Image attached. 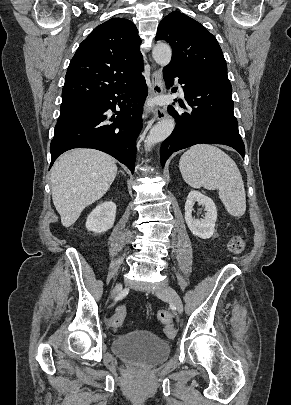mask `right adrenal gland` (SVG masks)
<instances>
[{"label": "right adrenal gland", "instance_id": "1", "mask_svg": "<svg viewBox=\"0 0 291 405\" xmlns=\"http://www.w3.org/2000/svg\"><path fill=\"white\" fill-rule=\"evenodd\" d=\"M119 172H121L122 174H124V172H123V171H121V170H120Z\"/></svg>", "mask_w": 291, "mask_h": 405}]
</instances>
